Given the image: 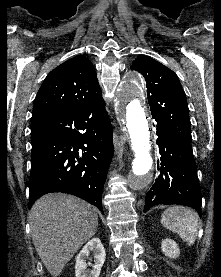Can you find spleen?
I'll use <instances>...</instances> for the list:
<instances>
[{"mask_svg": "<svg viewBox=\"0 0 221 277\" xmlns=\"http://www.w3.org/2000/svg\"><path fill=\"white\" fill-rule=\"evenodd\" d=\"M162 225L177 233L188 245H193L197 236V214L183 206H173L165 210L161 216Z\"/></svg>", "mask_w": 221, "mask_h": 277, "instance_id": "obj_1", "label": "spleen"}]
</instances>
